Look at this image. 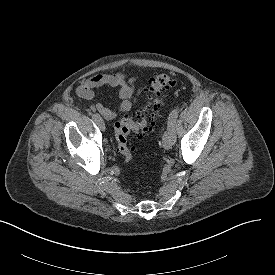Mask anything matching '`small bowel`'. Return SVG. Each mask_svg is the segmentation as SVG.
I'll use <instances>...</instances> for the list:
<instances>
[{
	"mask_svg": "<svg viewBox=\"0 0 275 275\" xmlns=\"http://www.w3.org/2000/svg\"><path fill=\"white\" fill-rule=\"evenodd\" d=\"M135 78H128L120 73H105L94 75L77 88L76 94L84 100H91L94 97V90L108 86L119 88V103L116 108H109L101 103H95L91 112H98L105 120L112 121L116 118L117 112H128L139 98L142 89L136 86Z\"/></svg>",
	"mask_w": 275,
	"mask_h": 275,
	"instance_id": "small-bowel-1",
	"label": "small bowel"
}]
</instances>
